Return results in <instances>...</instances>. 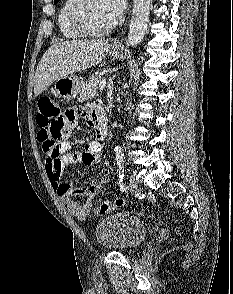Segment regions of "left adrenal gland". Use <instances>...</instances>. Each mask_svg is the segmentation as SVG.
<instances>
[{
	"label": "left adrenal gland",
	"instance_id": "1",
	"mask_svg": "<svg viewBox=\"0 0 233 294\" xmlns=\"http://www.w3.org/2000/svg\"><path fill=\"white\" fill-rule=\"evenodd\" d=\"M113 79H114V77H111L108 80V85H107V97H108V100H111L112 99Z\"/></svg>",
	"mask_w": 233,
	"mask_h": 294
}]
</instances>
